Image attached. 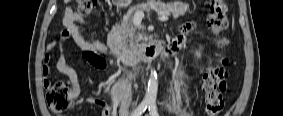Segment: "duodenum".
I'll return each instance as SVG.
<instances>
[{
  "label": "duodenum",
  "instance_id": "410a0bca",
  "mask_svg": "<svg viewBox=\"0 0 283 116\" xmlns=\"http://www.w3.org/2000/svg\"><path fill=\"white\" fill-rule=\"evenodd\" d=\"M108 44L110 50L114 53V55L129 66H135L140 64L141 62H150L153 59H155L162 50V45L160 43L148 45L140 50H134V51L123 50L122 48L119 47L116 41L112 39L109 40ZM133 85H134L133 75L123 79L120 82V86L123 90H130Z\"/></svg>",
  "mask_w": 283,
  "mask_h": 116
}]
</instances>
